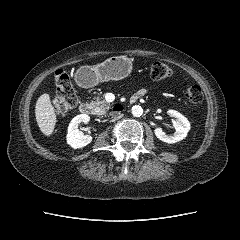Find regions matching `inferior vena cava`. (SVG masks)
<instances>
[{"instance_id":"1","label":"inferior vena cava","mask_w":240,"mask_h":240,"mask_svg":"<svg viewBox=\"0 0 240 240\" xmlns=\"http://www.w3.org/2000/svg\"><path fill=\"white\" fill-rule=\"evenodd\" d=\"M123 114H120V113H113L112 114V121H116L120 118H122Z\"/></svg>"}]
</instances>
